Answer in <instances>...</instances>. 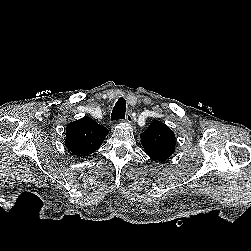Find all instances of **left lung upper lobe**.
<instances>
[{
	"mask_svg": "<svg viewBox=\"0 0 251 251\" xmlns=\"http://www.w3.org/2000/svg\"><path fill=\"white\" fill-rule=\"evenodd\" d=\"M140 138L145 153L155 161L164 162L175 152V134L160 121L152 122Z\"/></svg>",
	"mask_w": 251,
	"mask_h": 251,
	"instance_id": "obj_1",
	"label": "left lung upper lobe"
}]
</instances>
